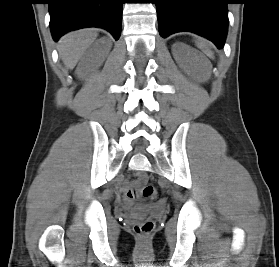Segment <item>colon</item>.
I'll return each mask as SVG.
<instances>
[{"label": "colon", "mask_w": 279, "mask_h": 267, "mask_svg": "<svg viewBox=\"0 0 279 267\" xmlns=\"http://www.w3.org/2000/svg\"><path fill=\"white\" fill-rule=\"evenodd\" d=\"M146 180H147V176L144 174H141L137 179L138 186L144 184V186L142 187V195L144 198L148 200H156L158 196V192L154 186L146 185L145 184ZM133 192H137L136 189ZM153 229H154V223L151 220H146L137 223L134 226L135 233L141 238H145L149 236L152 233Z\"/></svg>", "instance_id": "5ec220e1"}]
</instances>
